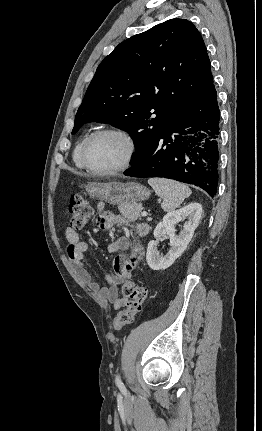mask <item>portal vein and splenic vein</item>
<instances>
[{
  "mask_svg": "<svg viewBox=\"0 0 262 431\" xmlns=\"http://www.w3.org/2000/svg\"><path fill=\"white\" fill-rule=\"evenodd\" d=\"M141 215H142L143 217H146V216L148 215V213L144 211V212H142V213H141Z\"/></svg>",
  "mask_w": 262,
  "mask_h": 431,
  "instance_id": "portal-vein-and-splenic-vein-1",
  "label": "portal vein and splenic vein"
}]
</instances>
